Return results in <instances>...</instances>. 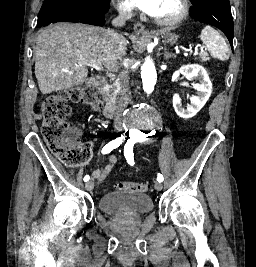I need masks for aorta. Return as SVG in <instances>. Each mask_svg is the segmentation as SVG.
I'll use <instances>...</instances> for the list:
<instances>
[{
  "instance_id": "762f6f07",
  "label": "aorta",
  "mask_w": 256,
  "mask_h": 267,
  "mask_svg": "<svg viewBox=\"0 0 256 267\" xmlns=\"http://www.w3.org/2000/svg\"><path fill=\"white\" fill-rule=\"evenodd\" d=\"M141 70V83L146 86V91H153L158 74L156 63L151 60L150 56L145 58ZM156 113L157 108H149V104H138V108H130L125 127H155V122L162 121L161 117H156ZM133 133H148V128H133ZM143 143H158V138H143Z\"/></svg>"
}]
</instances>
